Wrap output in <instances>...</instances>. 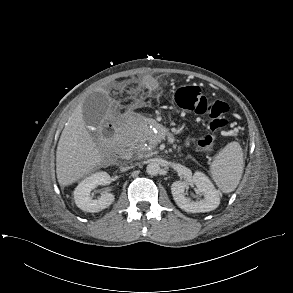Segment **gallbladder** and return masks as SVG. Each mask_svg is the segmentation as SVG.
Segmentation results:
<instances>
[{
    "mask_svg": "<svg viewBox=\"0 0 293 293\" xmlns=\"http://www.w3.org/2000/svg\"><path fill=\"white\" fill-rule=\"evenodd\" d=\"M110 106L108 95L102 92H94L87 96L82 105L84 123L97 127L105 118Z\"/></svg>",
    "mask_w": 293,
    "mask_h": 293,
    "instance_id": "bac80fb5",
    "label": "gallbladder"
}]
</instances>
